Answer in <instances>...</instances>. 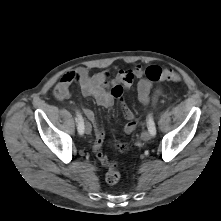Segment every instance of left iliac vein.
<instances>
[{
	"label": "left iliac vein",
	"instance_id": "4c4485c4",
	"mask_svg": "<svg viewBox=\"0 0 221 221\" xmlns=\"http://www.w3.org/2000/svg\"><path fill=\"white\" fill-rule=\"evenodd\" d=\"M152 137V134L150 133V131H144L142 134H141V139L143 141H148L150 140Z\"/></svg>",
	"mask_w": 221,
	"mask_h": 221
}]
</instances>
